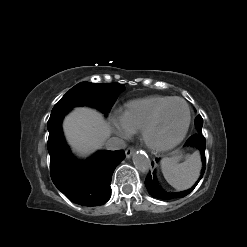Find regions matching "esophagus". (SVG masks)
Returning <instances> with one entry per match:
<instances>
[{"label": "esophagus", "instance_id": "obj_1", "mask_svg": "<svg viewBox=\"0 0 247 247\" xmlns=\"http://www.w3.org/2000/svg\"><path fill=\"white\" fill-rule=\"evenodd\" d=\"M135 149L133 147L127 148L125 151L126 158H130L134 154Z\"/></svg>", "mask_w": 247, "mask_h": 247}]
</instances>
